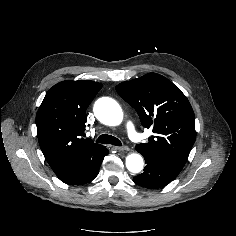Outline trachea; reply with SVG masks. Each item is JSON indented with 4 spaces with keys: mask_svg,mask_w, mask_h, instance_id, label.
I'll list each match as a JSON object with an SVG mask.
<instances>
[{
    "mask_svg": "<svg viewBox=\"0 0 236 236\" xmlns=\"http://www.w3.org/2000/svg\"><path fill=\"white\" fill-rule=\"evenodd\" d=\"M98 143H103V144H112V145H115V146H122V143L121 141L112 136V135H108V134H102L100 135L97 140H96Z\"/></svg>",
    "mask_w": 236,
    "mask_h": 236,
    "instance_id": "3493384b",
    "label": "trachea"
}]
</instances>
